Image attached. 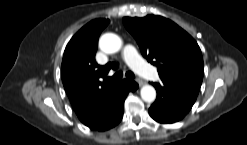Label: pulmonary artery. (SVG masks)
I'll use <instances>...</instances> for the list:
<instances>
[{"label": "pulmonary artery", "mask_w": 247, "mask_h": 145, "mask_svg": "<svg viewBox=\"0 0 247 145\" xmlns=\"http://www.w3.org/2000/svg\"><path fill=\"white\" fill-rule=\"evenodd\" d=\"M122 57L129 65V67L138 74L149 79L158 78L157 72L144 63V61L141 59V57L139 56V54L133 46H126L123 49Z\"/></svg>", "instance_id": "1"}]
</instances>
